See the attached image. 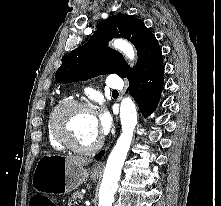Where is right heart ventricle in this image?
Returning a JSON list of instances; mask_svg holds the SVG:
<instances>
[{"label": "right heart ventricle", "mask_w": 221, "mask_h": 206, "mask_svg": "<svg viewBox=\"0 0 221 206\" xmlns=\"http://www.w3.org/2000/svg\"><path fill=\"white\" fill-rule=\"evenodd\" d=\"M66 100H60L58 101L50 110L49 114H48V117H47V122H46V132H47V138H48V141L51 145V147H53L54 149H57V150H64L66 147L61 144L57 139L56 137L54 136L53 132H52V127H51V117H52V114L54 112V110L56 109V107L61 104L62 102H64Z\"/></svg>", "instance_id": "e07e8e85"}]
</instances>
